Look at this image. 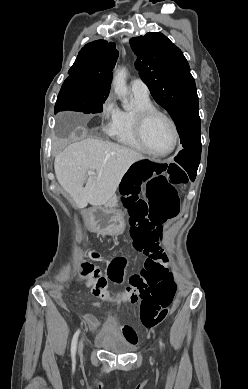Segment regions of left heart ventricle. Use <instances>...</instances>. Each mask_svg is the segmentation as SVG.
<instances>
[{
    "instance_id": "obj_1",
    "label": "left heart ventricle",
    "mask_w": 248,
    "mask_h": 389,
    "mask_svg": "<svg viewBox=\"0 0 248 389\" xmlns=\"http://www.w3.org/2000/svg\"><path fill=\"white\" fill-rule=\"evenodd\" d=\"M148 147L155 152H164L173 144V133L170 124L161 116H153L146 124L144 131Z\"/></svg>"
}]
</instances>
